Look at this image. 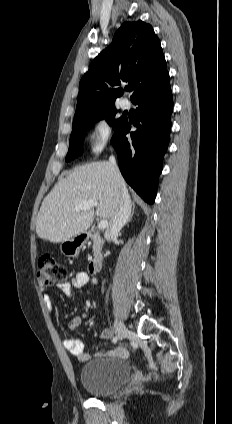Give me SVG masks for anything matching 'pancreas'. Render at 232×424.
I'll return each instance as SVG.
<instances>
[{"label": "pancreas", "instance_id": "pancreas-1", "mask_svg": "<svg viewBox=\"0 0 232 424\" xmlns=\"http://www.w3.org/2000/svg\"><path fill=\"white\" fill-rule=\"evenodd\" d=\"M93 251L95 252L97 248L101 245V238L98 235L93 237Z\"/></svg>", "mask_w": 232, "mask_h": 424}]
</instances>
